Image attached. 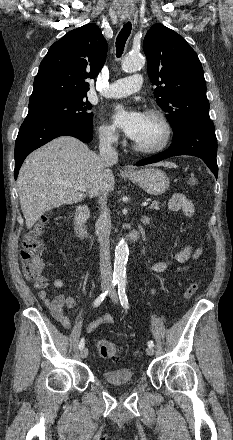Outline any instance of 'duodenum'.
I'll return each mask as SVG.
<instances>
[{"instance_id": "obj_1", "label": "duodenum", "mask_w": 233, "mask_h": 440, "mask_svg": "<svg viewBox=\"0 0 233 440\" xmlns=\"http://www.w3.org/2000/svg\"><path fill=\"white\" fill-rule=\"evenodd\" d=\"M90 214V210L88 207H79L76 212H75V216H74V220H73V227H74V232L76 234V236L83 241H90L91 237L86 229V221L89 217ZM148 224V220L143 219L141 224L137 227L132 229L128 235H127V239L130 242H136L140 239L141 237V233H142V227L144 225Z\"/></svg>"}]
</instances>
